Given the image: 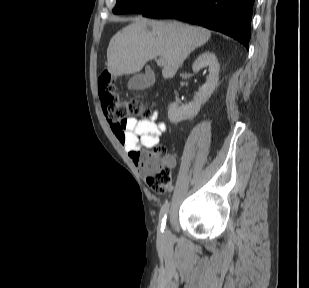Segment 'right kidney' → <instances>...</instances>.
<instances>
[{
	"instance_id": "right-kidney-1",
	"label": "right kidney",
	"mask_w": 309,
	"mask_h": 288,
	"mask_svg": "<svg viewBox=\"0 0 309 288\" xmlns=\"http://www.w3.org/2000/svg\"><path fill=\"white\" fill-rule=\"evenodd\" d=\"M209 67V76L206 83L199 88V91L195 94L193 102L179 106L178 103H172L168 109V118L172 123H179L183 120L193 119L203 104H205L215 88L218 85L219 80V63L214 53L204 52L193 63V72H198L203 67Z\"/></svg>"
}]
</instances>
